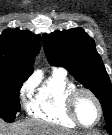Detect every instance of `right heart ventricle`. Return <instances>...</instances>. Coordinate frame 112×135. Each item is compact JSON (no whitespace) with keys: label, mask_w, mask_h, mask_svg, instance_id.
<instances>
[{"label":"right heart ventricle","mask_w":112,"mask_h":135,"mask_svg":"<svg viewBox=\"0 0 112 135\" xmlns=\"http://www.w3.org/2000/svg\"><path fill=\"white\" fill-rule=\"evenodd\" d=\"M74 87L65 73L53 72L32 93L26 106L28 114L62 127H77L66 107V95Z\"/></svg>","instance_id":"1"}]
</instances>
